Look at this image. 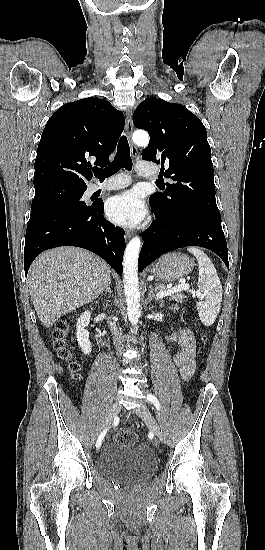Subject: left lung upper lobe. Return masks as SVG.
Instances as JSON below:
<instances>
[{
	"instance_id": "5c2ea615",
	"label": "left lung upper lobe",
	"mask_w": 265,
	"mask_h": 550,
	"mask_svg": "<svg viewBox=\"0 0 265 550\" xmlns=\"http://www.w3.org/2000/svg\"><path fill=\"white\" fill-rule=\"evenodd\" d=\"M134 126L145 129L150 143L142 159L167 168L164 175L174 183L163 184L164 193L150 196V205L159 215L182 210H196L216 218V205L211 149L200 119L180 104L149 98L133 114Z\"/></svg>"
}]
</instances>
